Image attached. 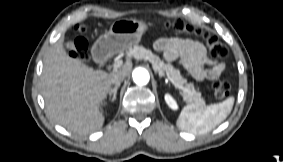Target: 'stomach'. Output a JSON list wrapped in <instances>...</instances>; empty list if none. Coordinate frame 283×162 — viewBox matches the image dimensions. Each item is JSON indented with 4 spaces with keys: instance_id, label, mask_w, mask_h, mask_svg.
I'll use <instances>...</instances> for the list:
<instances>
[{
    "instance_id": "stomach-1",
    "label": "stomach",
    "mask_w": 283,
    "mask_h": 162,
    "mask_svg": "<svg viewBox=\"0 0 283 162\" xmlns=\"http://www.w3.org/2000/svg\"><path fill=\"white\" fill-rule=\"evenodd\" d=\"M149 25L144 20L119 19L112 23L110 30L99 37L92 47L96 59L131 50L136 46Z\"/></svg>"
}]
</instances>
